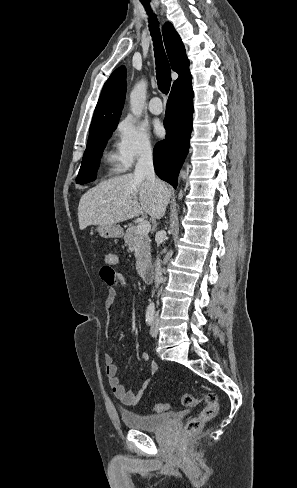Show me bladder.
Here are the masks:
<instances>
[{"instance_id": "bladder-1", "label": "bladder", "mask_w": 297, "mask_h": 488, "mask_svg": "<svg viewBox=\"0 0 297 488\" xmlns=\"http://www.w3.org/2000/svg\"><path fill=\"white\" fill-rule=\"evenodd\" d=\"M173 417L172 412L157 415H139L131 411L121 413V420L125 427L144 432H156L164 429Z\"/></svg>"}]
</instances>
